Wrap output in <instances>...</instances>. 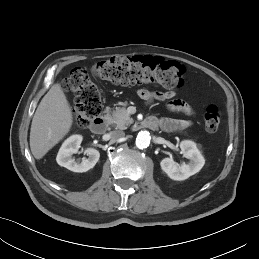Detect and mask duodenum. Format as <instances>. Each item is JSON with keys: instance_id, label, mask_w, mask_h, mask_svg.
Listing matches in <instances>:
<instances>
[{"instance_id": "duodenum-1", "label": "duodenum", "mask_w": 259, "mask_h": 259, "mask_svg": "<svg viewBox=\"0 0 259 259\" xmlns=\"http://www.w3.org/2000/svg\"><path fill=\"white\" fill-rule=\"evenodd\" d=\"M91 130L96 134H102L107 128V118L104 115H98L90 125ZM158 122L155 119L147 118L136 123L137 129H156Z\"/></svg>"}]
</instances>
